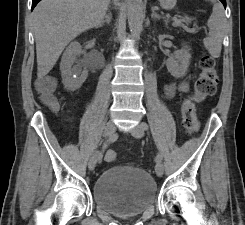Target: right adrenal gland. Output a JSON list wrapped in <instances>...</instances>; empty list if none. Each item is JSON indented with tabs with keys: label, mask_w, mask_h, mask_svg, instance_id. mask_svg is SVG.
<instances>
[{
	"label": "right adrenal gland",
	"mask_w": 245,
	"mask_h": 225,
	"mask_svg": "<svg viewBox=\"0 0 245 225\" xmlns=\"http://www.w3.org/2000/svg\"><path fill=\"white\" fill-rule=\"evenodd\" d=\"M111 19H112V14L110 12H108L106 15H105V19H103L101 21V23L99 25L96 26V28H99V27H102L105 23L106 24H110L111 22Z\"/></svg>",
	"instance_id": "1"
}]
</instances>
